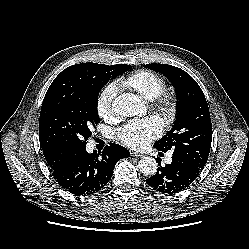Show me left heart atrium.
<instances>
[{
    "label": "left heart atrium",
    "instance_id": "left-heart-atrium-1",
    "mask_svg": "<svg viewBox=\"0 0 249 249\" xmlns=\"http://www.w3.org/2000/svg\"><path fill=\"white\" fill-rule=\"evenodd\" d=\"M162 129V123L157 117L134 119L118 130L117 138L132 149H142L158 137Z\"/></svg>",
    "mask_w": 249,
    "mask_h": 249
}]
</instances>
